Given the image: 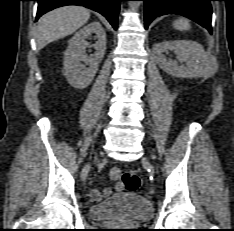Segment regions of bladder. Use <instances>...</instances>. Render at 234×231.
I'll return each mask as SVG.
<instances>
[{
    "mask_svg": "<svg viewBox=\"0 0 234 231\" xmlns=\"http://www.w3.org/2000/svg\"><path fill=\"white\" fill-rule=\"evenodd\" d=\"M89 213L94 220H130L145 222L152 216V205L136 193L118 194L110 199L93 205Z\"/></svg>",
    "mask_w": 234,
    "mask_h": 231,
    "instance_id": "1",
    "label": "bladder"
}]
</instances>
